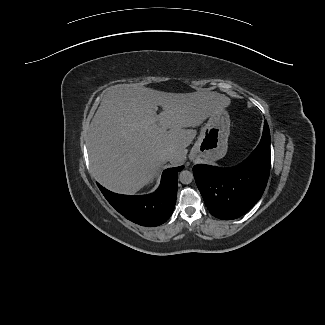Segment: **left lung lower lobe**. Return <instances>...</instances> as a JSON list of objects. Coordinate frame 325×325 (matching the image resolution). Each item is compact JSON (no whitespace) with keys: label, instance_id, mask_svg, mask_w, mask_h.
<instances>
[{"label":"left lung lower lobe","instance_id":"1","mask_svg":"<svg viewBox=\"0 0 325 325\" xmlns=\"http://www.w3.org/2000/svg\"><path fill=\"white\" fill-rule=\"evenodd\" d=\"M270 159V131L265 121L260 143L239 165L230 168L194 166L196 184L210 213L222 220H233L245 214L265 190Z\"/></svg>","mask_w":325,"mask_h":325}]
</instances>
